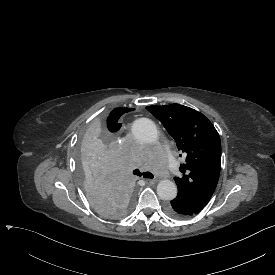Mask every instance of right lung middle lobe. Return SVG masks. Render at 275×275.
I'll return each mask as SVG.
<instances>
[{
  "label": "right lung middle lobe",
  "instance_id": "obj_1",
  "mask_svg": "<svg viewBox=\"0 0 275 275\" xmlns=\"http://www.w3.org/2000/svg\"><path fill=\"white\" fill-rule=\"evenodd\" d=\"M74 165L76 181L96 211L109 218H122L131 211L134 198L127 188L123 159L102 124L93 123L82 133Z\"/></svg>",
  "mask_w": 275,
  "mask_h": 275
}]
</instances>
